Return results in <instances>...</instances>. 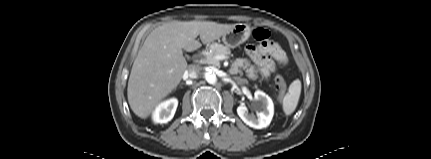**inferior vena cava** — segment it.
I'll return each instance as SVG.
<instances>
[{
  "label": "inferior vena cava",
  "instance_id": "obj_1",
  "mask_svg": "<svg viewBox=\"0 0 431 159\" xmlns=\"http://www.w3.org/2000/svg\"><path fill=\"white\" fill-rule=\"evenodd\" d=\"M199 72H200V68L198 66L190 65L186 72V76L190 79H195L198 77Z\"/></svg>",
  "mask_w": 431,
  "mask_h": 159
}]
</instances>
